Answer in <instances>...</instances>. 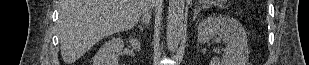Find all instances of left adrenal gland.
<instances>
[{
	"label": "left adrenal gland",
	"instance_id": "left-adrenal-gland-1",
	"mask_svg": "<svg viewBox=\"0 0 309 65\" xmlns=\"http://www.w3.org/2000/svg\"><path fill=\"white\" fill-rule=\"evenodd\" d=\"M200 8H198V7H196L195 9H194V16H193V20H195L196 18H197V16H198V14H199V12H200Z\"/></svg>",
	"mask_w": 309,
	"mask_h": 65
}]
</instances>
